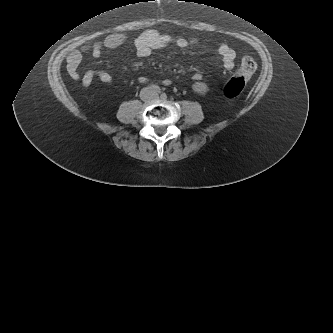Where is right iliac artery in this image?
<instances>
[{"mask_svg":"<svg viewBox=\"0 0 333 333\" xmlns=\"http://www.w3.org/2000/svg\"><path fill=\"white\" fill-rule=\"evenodd\" d=\"M147 90L153 93H160V88L157 85H150Z\"/></svg>","mask_w":333,"mask_h":333,"instance_id":"1","label":"right iliac artery"}]
</instances>
